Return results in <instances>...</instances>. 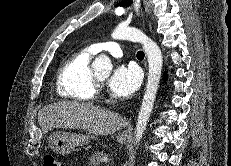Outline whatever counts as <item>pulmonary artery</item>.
Here are the masks:
<instances>
[{
    "mask_svg": "<svg viewBox=\"0 0 231 166\" xmlns=\"http://www.w3.org/2000/svg\"><path fill=\"white\" fill-rule=\"evenodd\" d=\"M90 47L95 54L100 53V52H108L114 57L123 56V50H122L121 44L116 41H106V42L94 43Z\"/></svg>",
    "mask_w": 231,
    "mask_h": 166,
    "instance_id": "pulmonary-artery-1",
    "label": "pulmonary artery"
}]
</instances>
